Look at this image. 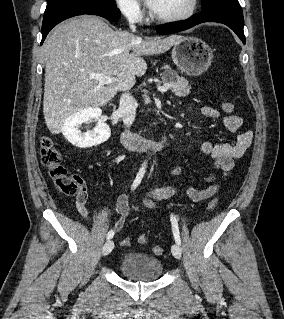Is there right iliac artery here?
Returning <instances> with one entry per match:
<instances>
[{
	"label": "right iliac artery",
	"instance_id": "right-iliac-artery-1",
	"mask_svg": "<svg viewBox=\"0 0 284 319\" xmlns=\"http://www.w3.org/2000/svg\"><path fill=\"white\" fill-rule=\"evenodd\" d=\"M145 169H146V162H144L143 164H142V167L140 168V170H139V172H138V174H137V176H136V178H135V180H134V182H133V184H132V190H135L136 189V187L140 184V182H141V180H142V178H143V176H144V174H145ZM114 236V231L113 230H110L109 232H108V234H107V239L109 240V239H111L112 237Z\"/></svg>",
	"mask_w": 284,
	"mask_h": 319
}]
</instances>
